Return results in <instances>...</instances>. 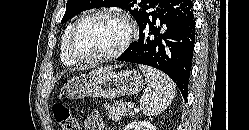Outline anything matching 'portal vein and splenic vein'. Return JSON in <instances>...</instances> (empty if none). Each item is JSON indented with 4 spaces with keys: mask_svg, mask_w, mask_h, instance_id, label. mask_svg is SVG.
Returning <instances> with one entry per match:
<instances>
[{
    "mask_svg": "<svg viewBox=\"0 0 249 130\" xmlns=\"http://www.w3.org/2000/svg\"><path fill=\"white\" fill-rule=\"evenodd\" d=\"M127 107H128L129 109H133V108H134V104H133V103H128Z\"/></svg>",
    "mask_w": 249,
    "mask_h": 130,
    "instance_id": "18ae733b",
    "label": "portal vein and splenic vein"
}]
</instances>
